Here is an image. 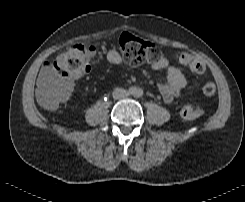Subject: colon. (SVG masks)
Segmentation results:
<instances>
[{"instance_id":"5ec220e1","label":"colon","mask_w":245,"mask_h":202,"mask_svg":"<svg viewBox=\"0 0 245 202\" xmlns=\"http://www.w3.org/2000/svg\"><path fill=\"white\" fill-rule=\"evenodd\" d=\"M121 49L125 60L132 65H140L147 62H157L162 58L163 49L143 38L125 34L121 41ZM96 54V48L91 43H78L58 55L54 61L55 70L63 75L80 78L90 68V63ZM178 61L196 74L205 71V64L186 52L177 55ZM205 95L211 96L216 91L212 81H205L202 86ZM69 97V92L62 88L60 83L44 87L38 91L39 103L47 109H55ZM202 115V110L193 105H184L181 116L185 120H195Z\"/></svg>"}]
</instances>
